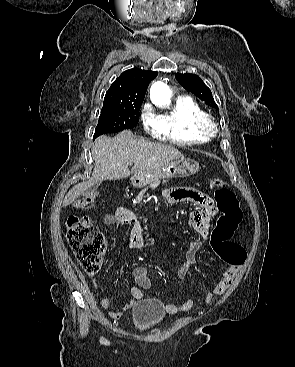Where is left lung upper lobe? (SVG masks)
I'll use <instances>...</instances> for the list:
<instances>
[{"label": "left lung upper lobe", "instance_id": "left-lung-upper-lobe-1", "mask_svg": "<svg viewBox=\"0 0 295 367\" xmlns=\"http://www.w3.org/2000/svg\"><path fill=\"white\" fill-rule=\"evenodd\" d=\"M175 77L184 89L192 92L194 95L203 100L208 106L218 109V106L213 99L211 90L205 85L200 77L190 73H176Z\"/></svg>", "mask_w": 295, "mask_h": 367}]
</instances>
